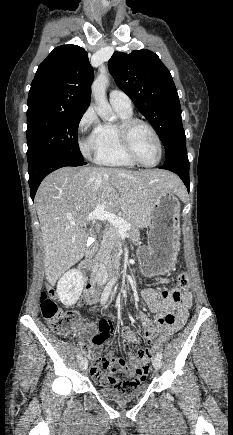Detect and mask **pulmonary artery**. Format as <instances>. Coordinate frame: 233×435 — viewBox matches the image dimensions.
I'll list each match as a JSON object with an SVG mask.
<instances>
[{"mask_svg":"<svg viewBox=\"0 0 233 435\" xmlns=\"http://www.w3.org/2000/svg\"><path fill=\"white\" fill-rule=\"evenodd\" d=\"M109 99L114 107L132 111L131 99L124 92L120 90H112L109 94Z\"/></svg>","mask_w":233,"mask_h":435,"instance_id":"pulmonary-artery-1","label":"pulmonary artery"}]
</instances>
